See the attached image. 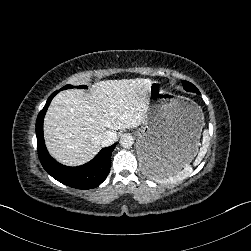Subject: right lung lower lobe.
<instances>
[{
  "label": "right lung lower lobe",
  "mask_w": 251,
  "mask_h": 251,
  "mask_svg": "<svg viewBox=\"0 0 251 251\" xmlns=\"http://www.w3.org/2000/svg\"><path fill=\"white\" fill-rule=\"evenodd\" d=\"M59 91H55L48 98L44 108L40 111L36 121V136L38 156L43 168L54 179L69 187L76 189H92L99 186L109 174L111 155L116 144L103 148L90 162L78 166L68 167L58 163L48 153L43 138V119L53 97Z\"/></svg>",
  "instance_id": "obj_1"
}]
</instances>
